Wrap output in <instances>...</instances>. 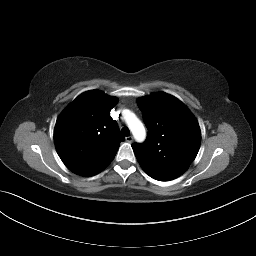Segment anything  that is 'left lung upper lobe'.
<instances>
[{
    "mask_svg": "<svg viewBox=\"0 0 256 256\" xmlns=\"http://www.w3.org/2000/svg\"><path fill=\"white\" fill-rule=\"evenodd\" d=\"M137 104L148 128L142 144H132L143 170L160 181L182 175L195 159L201 142L199 124L189 109L167 93L139 98Z\"/></svg>",
    "mask_w": 256,
    "mask_h": 256,
    "instance_id": "1",
    "label": "left lung upper lobe"
}]
</instances>
